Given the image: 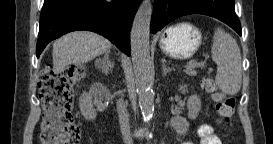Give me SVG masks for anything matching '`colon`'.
<instances>
[{"instance_id":"1","label":"colon","mask_w":273,"mask_h":144,"mask_svg":"<svg viewBox=\"0 0 273 144\" xmlns=\"http://www.w3.org/2000/svg\"><path fill=\"white\" fill-rule=\"evenodd\" d=\"M84 70L71 67L60 73L44 70L39 77V97L44 108L41 142L43 144H77L80 131L72 116L73 84L82 79ZM205 91L213 94L216 110L224 124L228 125L234 115L236 101L216 90L213 81H203Z\"/></svg>"}]
</instances>
